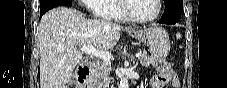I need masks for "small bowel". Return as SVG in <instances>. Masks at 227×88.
Returning a JSON list of instances; mask_svg holds the SVG:
<instances>
[{
	"instance_id": "obj_1",
	"label": "small bowel",
	"mask_w": 227,
	"mask_h": 88,
	"mask_svg": "<svg viewBox=\"0 0 227 88\" xmlns=\"http://www.w3.org/2000/svg\"><path fill=\"white\" fill-rule=\"evenodd\" d=\"M172 82L173 87L179 86V79L175 73L166 65H161L158 68V74L152 79V88H163L169 82Z\"/></svg>"
}]
</instances>
